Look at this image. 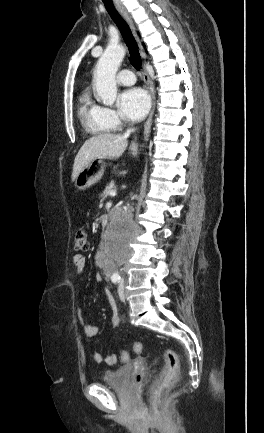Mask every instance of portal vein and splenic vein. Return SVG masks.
<instances>
[{
  "label": "portal vein and splenic vein",
  "mask_w": 264,
  "mask_h": 433,
  "mask_svg": "<svg viewBox=\"0 0 264 433\" xmlns=\"http://www.w3.org/2000/svg\"><path fill=\"white\" fill-rule=\"evenodd\" d=\"M110 195H111L112 197L116 196V191H111V192H110Z\"/></svg>",
  "instance_id": "1"
}]
</instances>
